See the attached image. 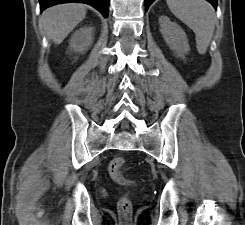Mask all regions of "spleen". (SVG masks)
I'll list each match as a JSON object with an SVG mask.
<instances>
[{"label": "spleen", "instance_id": "3e777b00", "mask_svg": "<svg viewBox=\"0 0 245 225\" xmlns=\"http://www.w3.org/2000/svg\"><path fill=\"white\" fill-rule=\"evenodd\" d=\"M171 12L188 25L196 35V47L205 54L213 37L215 11L205 0H166Z\"/></svg>", "mask_w": 245, "mask_h": 225}]
</instances>
